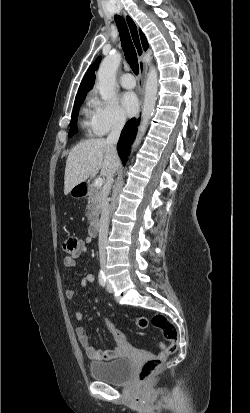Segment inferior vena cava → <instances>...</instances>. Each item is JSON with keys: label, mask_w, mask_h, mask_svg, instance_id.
<instances>
[{"label": "inferior vena cava", "mask_w": 250, "mask_h": 413, "mask_svg": "<svg viewBox=\"0 0 250 413\" xmlns=\"http://www.w3.org/2000/svg\"><path fill=\"white\" fill-rule=\"evenodd\" d=\"M125 117H119L112 126L111 132L106 139V143L114 150L116 153V144L119 140L121 130L125 125ZM113 174L111 173L107 177L106 189L103 194L102 200V210L100 218V230H99V257L100 264L102 267L106 265V252L105 247L107 244L108 228H109V217H110V205L108 201V195L113 184Z\"/></svg>", "instance_id": "obj_1"}]
</instances>
